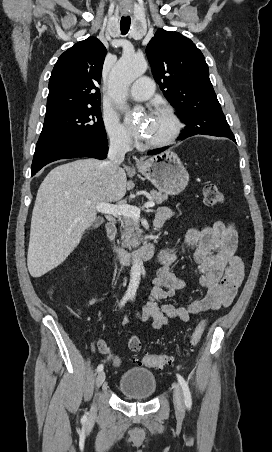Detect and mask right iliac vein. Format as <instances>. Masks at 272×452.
Wrapping results in <instances>:
<instances>
[{
  "label": "right iliac vein",
  "mask_w": 272,
  "mask_h": 452,
  "mask_svg": "<svg viewBox=\"0 0 272 452\" xmlns=\"http://www.w3.org/2000/svg\"><path fill=\"white\" fill-rule=\"evenodd\" d=\"M105 372L104 371H100L97 375L96 378V388H99L105 381Z\"/></svg>",
  "instance_id": "right-iliac-vein-1"
}]
</instances>
